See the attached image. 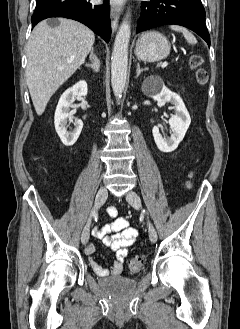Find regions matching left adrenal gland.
I'll return each instance as SVG.
<instances>
[{
	"mask_svg": "<svg viewBox=\"0 0 240 329\" xmlns=\"http://www.w3.org/2000/svg\"><path fill=\"white\" fill-rule=\"evenodd\" d=\"M147 70H148V68L141 69V68H140V64L137 63L136 78H138L139 75H140L143 71H147Z\"/></svg>",
	"mask_w": 240,
	"mask_h": 329,
	"instance_id": "1",
	"label": "left adrenal gland"
}]
</instances>
